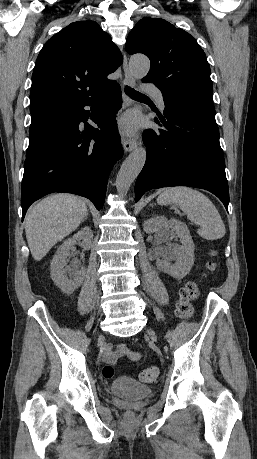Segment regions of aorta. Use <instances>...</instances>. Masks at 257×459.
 <instances>
[{"mask_svg": "<svg viewBox=\"0 0 257 459\" xmlns=\"http://www.w3.org/2000/svg\"><path fill=\"white\" fill-rule=\"evenodd\" d=\"M129 66L134 77L141 79L149 72L150 61L146 56L135 55L131 57ZM145 160L146 150L143 147L135 149L126 158L116 178V188L119 194H127L131 184L141 172Z\"/></svg>", "mask_w": 257, "mask_h": 459, "instance_id": "obj_1", "label": "aorta"}]
</instances>
